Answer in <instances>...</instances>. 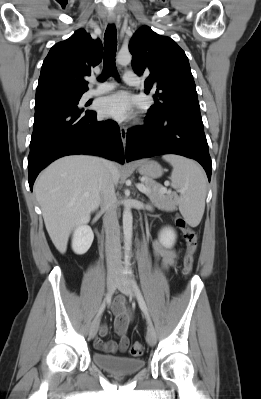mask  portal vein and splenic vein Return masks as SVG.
<instances>
[{
  "label": "portal vein and splenic vein",
  "mask_w": 261,
  "mask_h": 399,
  "mask_svg": "<svg viewBox=\"0 0 261 399\" xmlns=\"http://www.w3.org/2000/svg\"><path fill=\"white\" fill-rule=\"evenodd\" d=\"M137 188L143 193H147L149 191V189L142 183L137 184ZM162 190L164 192H167V189L165 187H163Z\"/></svg>",
  "instance_id": "portal-vein-and-splenic-vein-1"
}]
</instances>
